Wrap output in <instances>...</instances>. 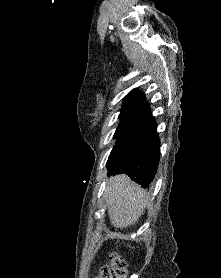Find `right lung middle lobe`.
Instances as JSON below:
<instances>
[{
    "mask_svg": "<svg viewBox=\"0 0 221 278\" xmlns=\"http://www.w3.org/2000/svg\"><path fill=\"white\" fill-rule=\"evenodd\" d=\"M151 116L152 114L147 105L123 107L119 115L121 121L114 134V138H117V141L112 152L134 136Z\"/></svg>",
    "mask_w": 221,
    "mask_h": 278,
    "instance_id": "right-lung-middle-lobe-1",
    "label": "right lung middle lobe"
}]
</instances>
